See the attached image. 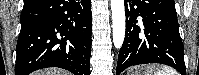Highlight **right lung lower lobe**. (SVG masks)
Segmentation results:
<instances>
[{"label": "right lung lower lobe", "instance_id": "98d812e1", "mask_svg": "<svg viewBox=\"0 0 199 75\" xmlns=\"http://www.w3.org/2000/svg\"><path fill=\"white\" fill-rule=\"evenodd\" d=\"M90 0H24L15 75L60 67L89 75Z\"/></svg>", "mask_w": 199, "mask_h": 75}]
</instances>
